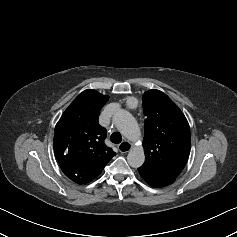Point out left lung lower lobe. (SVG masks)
Listing matches in <instances>:
<instances>
[{
  "label": "left lung lower lobe",
  "mask_w": 237,
  "mask_h": 237,
  "mask_svg": "<svg viewBox=\"0 0 237 237\" xmlns=\"http://www.w3.org/2000/svg\"><path fill=\"white\" fill-rule=\"evenodd\" d=\"M141 177L153 187H164L175 181V178L159 174L151 169L140 167L138 168Z\"/></svg>",
  "instance_id": "left-lung-lower-lobe-1"
}]
</instances>
